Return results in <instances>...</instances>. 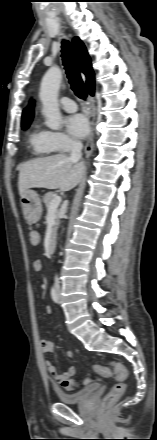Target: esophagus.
I'll list each match as a JSON object with an SVG mask.
<instances>
[{
    "instance_id": "34e87169",
    "label": "esophagus",
    "mask_w": 157,
    "mask_h": 440,
    "mask_svg": "<svg viewBox=\"0 0 157 440\" xmlns=\"http://www.w3.org/2000/svg\"><path fill=\"white\" fill-rule=\"evenodd\" d=\"M88 119H89L91 133L84 148V153L86 157H89L92 154L94 148L93 129H94V120H95V104L91 96L88 97Z\"/></svg>"
}]
</instances>
